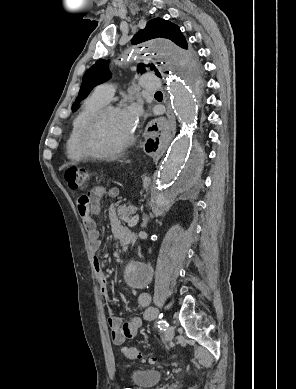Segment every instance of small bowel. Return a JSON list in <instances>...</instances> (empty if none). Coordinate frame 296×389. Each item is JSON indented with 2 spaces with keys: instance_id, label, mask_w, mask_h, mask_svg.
I'll return each mask as SVG.
<instances>
[{
  "instance_id": "small-bowel-1",
  "label": "small bowel",
  "mask_w": 296,
  "mask_h": 389,
  "mask_svg": "<svg viewBox=\"0 0 296 389\" xmlns=\"http://www.w3.org/2000/svg\"><path fill=\"white\" fill-rule=\"evenodd\" d=\"M118 193L116 188L107 190L104 187H95L89 193L79 197L77 208L82 219L83 225L87 231L90 242V249L97 253L101 248V241L99 238V231L97 229L95 216L99 213L100 204L105 197H115ZM109 221L113 234L121 240L123 237H130L131 232L124 227L117 216L115 207L112 206L109 210ZM94 268L97 278L100 282V291L102 296L108 300L110 297L107 277L102 270L101 261L97 256H94ZM138 304L144 308L143 317H134L126 322L118 316L110 314L108 317V326L110 329V336L113 344L122 345L127 339L136 336L138 329L141 327L143 321H149L154 317V310L151 306V296L142 292L138 295Z\"/></svg>"
}]
</instances>
